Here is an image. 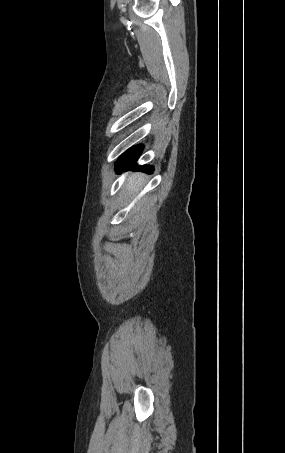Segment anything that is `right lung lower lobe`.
Returning <instances> with one entry per match:
<instances>
[{
	"mask_svg": "<svg viewBox=\"0 0 285 453\" xmlns=\"http://www.w3.org/2000/svg\"><path fill=\"white\" fill-rule=\"evenodd\" d=\"M143 147L141 145L135 146L127 150L116 162V172L121 173L122 171L133 169L143 171L146 173H152L153 167L149 165L138 166L136 161L142 152Z\"/></svg>",
	"mask_w": 285,
	"mask_h": 453,
	"instance_id": "obj_1",
	"label": "right lung lower lobe"
}]
</instances>
